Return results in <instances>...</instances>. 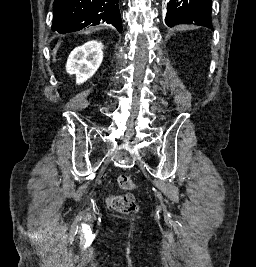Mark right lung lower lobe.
<instances>
[{
    "mask_svg": "<svg viewBox=\"0 0 256 267\" xmlns=\"http://www.w3.org/2000/svg\"><path fill=\"white\" fill-rule=\"evenodd\" d=\"M52 30L65 34L99 23L122 31L118 0H54Z\"/></svg>",
    "mask_w": 256,
    "mask_h": 267,
    "instance_id": "98d812e1",
    "label": "right lung lower lobe"
}]
</instances>
